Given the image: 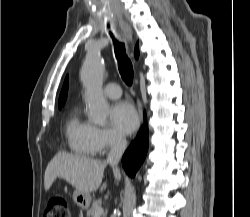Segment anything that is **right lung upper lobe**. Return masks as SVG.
<instances>
[{"instance_id": "1", "label": "right lung upper lobe", "mask_w": 250, "mask_h": 217, "mask_svg": "<svg viewBox=\"0 0 250 217\" xmlns=\"http://www.w3.org/2000/svg\"><path fill=\"white\" fill-rule=\"evenodd\" d=\"M134 54H135V58L137 59L139 57L138 45H136V47H135ZM67 92H68V76L66 77V79L64 81V84H63V87H62V90H61V93H60V96H59V100H58L59 109L62 106H64V104H65V101H66V98H67Z\"/></svg>"}]
</instances>
